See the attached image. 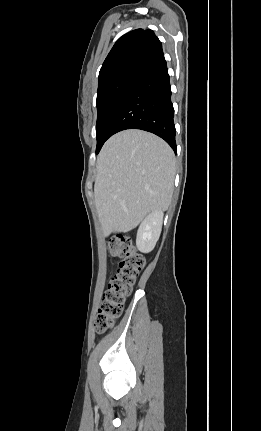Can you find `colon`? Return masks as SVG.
Segmentation results:
<instances>
[{
  "label": "colon",
  "instance_id": "colon-1",
  "mask_svg": "<svg viewBox=\"0 0 261 431\" xmlns=\"http://www.w3.org/2000/svg\"><path fill=\"white\" fill-rule=\"evenodd\" d=\"M108 248L111 255L117 257L119 261L94 322V329L98 334L111 328L121 315L124 301L130 295L135 280L145 265L144 257L127 236L111 238L108 241Z\"/></svg>",
  "mask_w": 261,
  "mask_h": 431
}]
</instances>
